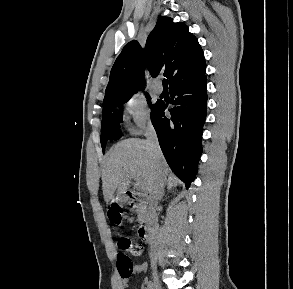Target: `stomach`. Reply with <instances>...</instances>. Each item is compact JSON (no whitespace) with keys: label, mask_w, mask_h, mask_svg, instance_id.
Masks as SVG:
<instances>
[{"label":"stomach","mask_w":293,"mask_h":289,"mask_svg":"<svg viewBox=\"0 0 293 289\" xmlns=\"http://www.w3.org/2000/svg\"><path fill=\"white\" fill-rule=\"evenodd\" d=\"M116 201L119 202V203H125L126 199H125L124 196H118Z\"/></svg>","instance_id":"stomach-1"}]
</instances>
